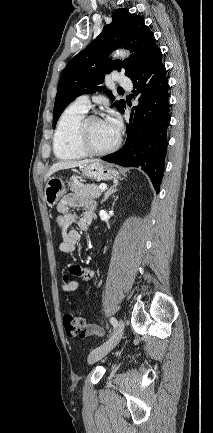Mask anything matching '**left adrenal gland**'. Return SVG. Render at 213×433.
I'll return each mask as SVG.
<instances>
[{
	"mask_svg": "<svg viewBox=\"0 0 213 433\" xmlns=\"http://www.w3.org/2000/svg\"><path fill=\"white\" fill-rule=\"evenodd\" d=\"M118 184H114V185H112L110 188H108L107 190H106V192L104 193V197H103V199H102V201H101V204L103 203V202H105L108 198H109V196L110 195H112L113 193H115L116 191H118V189H116V186H117Z\"/></svg>",
	"mask_w": 213,
	"mask_h": 433,
	"instance_id": "1",
	"label": "left adrenal gland"
}]
</instances>
